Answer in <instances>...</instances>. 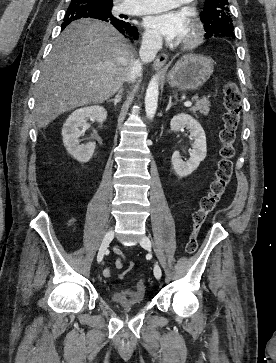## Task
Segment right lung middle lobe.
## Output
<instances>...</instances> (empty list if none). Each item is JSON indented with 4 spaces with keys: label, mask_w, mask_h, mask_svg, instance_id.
Masks as SVG:
<instances>
[{
    "label": "right lung middle lobe",
    "mask_w": 276,
    "mask_h": 363,
    "mask_svg": "<svg viewBox=\"0 0 276 363\" xmlns=\"http://www.w3.org/2000/svg\"><path fill=\"white\" fill-rule=\"evenodd\" d=\"M112 4L96 0H72L68 10H74L77 8H87L95 11L103 19H113Z\"/></svg>",
    "instance_id": "obj_1"
}]
</instances>
